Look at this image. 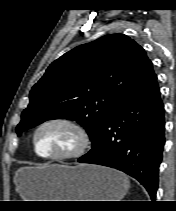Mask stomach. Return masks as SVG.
<instances>
[{
	"label": "stomach",
	"mask_w": 176,
	"mask_h": 211,
	"mask_svg": "<svg viewBox=\"0 0 176 211\" xmlns=\"http://www.w3.org/2000/svg\"><path fill=\"white\" fill-rule=\"evenodd\" d=\"M16 186L25 201H120L129 181L122 172L107 167L48 164L20 169Z\"/></svg>",
	"instance_id": "stomach-1"
}]
</instances>
